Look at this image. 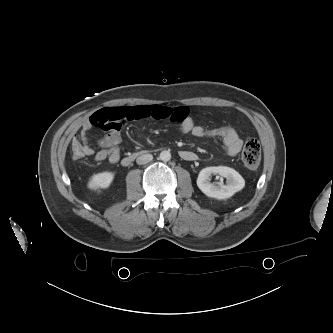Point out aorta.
<instances>
[{"mask_svg":"<svg viewBox=\"0 0 333 333\" xmlns=\"http://www.w3.org/2000/svg\"><path fill=\"white\" fill-rule=\"evenodd\" d=\"M160 159L164 162H167L171 159V153L168 150H164L160 153Z\"/></svg>","mask_w":333,"mask_h":333,"instance_id":"762f6f07","label":"aorta"}]
</instances>
